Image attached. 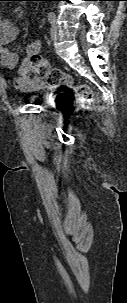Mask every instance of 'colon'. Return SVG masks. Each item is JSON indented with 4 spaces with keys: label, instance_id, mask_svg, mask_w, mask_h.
<instances>
[{
    "label": "colon",
    "instance_id": "obj_1",
    "mask_svg": "<svg viewBox=\"0 0 127 303\" xmlns=\"http://www.w3.org/2000/svg\"><path fill=\"white\" fill-rule=\"evenodd\" d=\"M30 63L36 74L45 81L47 86L51 88H70L72 86L71 77L60 68L51 66L40 54L32 53ZM60 99L69 104L77 99L92 103L94 96L88 85H80L75 87L72 93H62Z\"/></svg>",
    "mask_w": 127,
    "mask_h": 303
}]
</instances>
